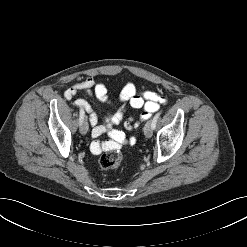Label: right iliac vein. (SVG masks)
<instances>
[{"label": "right iliac vein", "mask_w": 247, "mask_h": 247, "mask_svg": "<svg viewBox=\"0 0 247 247\" xmlns=\"http://www.w3.org/2000/svg\"><path fill=\"white\" fill-rule=\"evenodd\" d=\"M80 132L82 135H85L88 132V122L86 120L82 122Z\"/></svg>", "instance_id": "right-iliac-vein-1"}]
</instances>
